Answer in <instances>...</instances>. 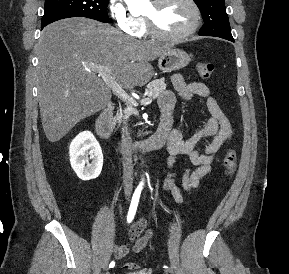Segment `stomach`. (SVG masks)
I'll use <instances>...</instances> for the list:
<instances>
[{
    "label": "stomach",
    "instance_id": "stomach-1",
    "mask_svg": "<svg viewBox=\"0 0 289 274\" xmlns=\"http://www.w3.org/2000/svg\"><path fill=\"white\" fill-rule=\"evenodd\" d=\"M190 62L189 55L180 49H170L158 59V67L163 72L184 68Z\"/></svg>",
    "mask_w": 289,
    "mask_h": 274
}]
</instances>
